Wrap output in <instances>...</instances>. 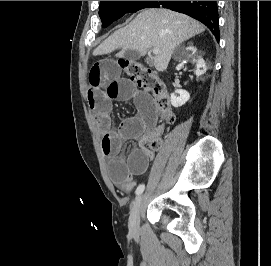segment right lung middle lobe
I'll list each match as a JSON object with an SVG mask.
<instances>
[{"label": "right lung middle lobe", "mask_w": 271, "mask_h": 266, "mask_svg": "<svg viewBox=\"0 0 271 266\" xmlns=\"http://www.w3.org/2000/svg\"><path fill=\"white\" fill-rule=\"evenodd\" d=\"M154 1H100L99 16L102 27L109 26L113 21L129 12L148 8Z\"/></svg>", "instance_id": "obj_1"}]
</instances>
